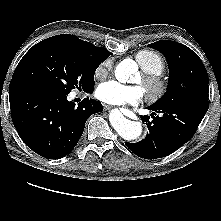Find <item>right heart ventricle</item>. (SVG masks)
Masks as SVG:
<instances>
[{
    "instance_id": "1",
    "label": "right heart ventricle",
    "mask_w": 221,
    "mask_h": 221,
    "mask_svg": "<svg viewBox=\"0 0 221 221\" xmlns=\"http://www.w3.org/2000/svg\"><path fill=\"white\" fill-rule=\"evenodd\" d=\"M135 60L145 72L161 74L165 69L162 57L151 50H140L135 54Z\"/></svg>"
}]
</instances>
